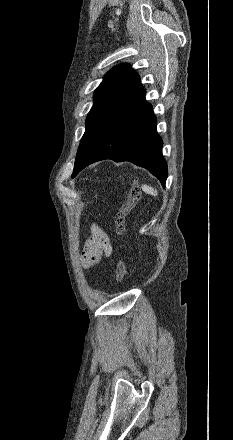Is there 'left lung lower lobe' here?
Wrapping results in <instances>:
<instances>
[{"instance_id":"left-lung-lower-lobe-1","label":"left lung lower lobe","mask_w":233,"mask_h":440,"mask_svg":"<svg viewBox=\"0 0 233 440\" xmlns=\"http://www.w3.org/2000/svg\"><path fill=\"white\" fill-rule=\"evenodd\" d=\"M145 94L143 89L109 124L85 160L73 171V178L94 162L112 159L146 168L165 187L168 172L161 152L163 142L157 134V120Z\"/></svg>"}]
</instances>
